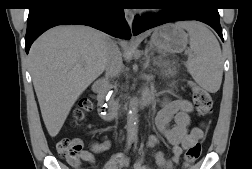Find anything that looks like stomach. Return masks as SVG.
<instances>
[{
	"instance_id": "0dacf381",
	"label": "stomach",
	"mask_w": 252,
	"mask_h": 169,
	"mask_svg": "<svg viewBox=\"0 0 252 169\" xmlns=\"http://www.w3.org/2000/svg\"><path fill=\"white\" fill-rule=\"evenodd\" d=\"M151 43L159 50L179 53L185 50L188 35L178 24H166L153 32Z\"/></svg>"
}]
</instances>
